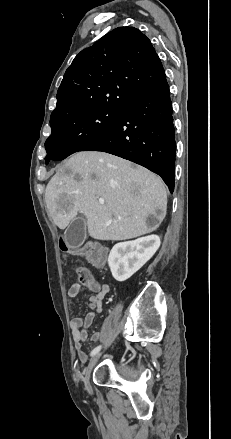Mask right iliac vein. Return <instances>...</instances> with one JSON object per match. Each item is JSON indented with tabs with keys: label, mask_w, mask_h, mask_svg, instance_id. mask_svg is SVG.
Wrapping results in <instances>:
<instances>
[{
	"label": "right iliac vein",
	"mask_w": 231,
	"mask_h": 439,
	"mask_svg": "<svg viewBox=\"0 0 231 439\" xmlns=\"http://www.w3.org/2000/svg\"><path fill=\"white\" fill-rule=\"evenodd\" d=\"M100 356H101V353H97V354H95V355L91 358V360H90L88 366H87V367L85 368V370H84V384H85L86 389H87L89 392H91V390H92V388H91V384H90V376H91V373H92L94 367L96 366V364H97V362H98Z\"/></svg>",
	"instance_id": "1"
}]
</instances>
